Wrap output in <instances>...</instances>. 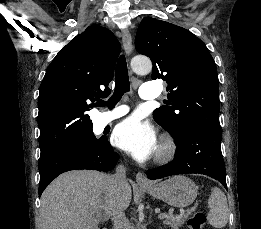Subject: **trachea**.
Masks as SVG:
<instances>
[{"mask_svg": "<svg viewBox=\"0 0 261 229\" xmlns=\"http://www.w3.org/2000/svg\"><path fill=\"white\" fill-rule=\"evenodd\" d=\"M129 90L130 81L128 77L126 58L124 55H121L118 59L115 70V90L112 97L107 102L99 99L95 105L98 107L108 106L111 109L117 104V102H119L123 94Z\"/></svg>", "mask_w": 261, "mask_h": 229, "instance_id": "1", "label": "trachea"}]
</instances>
